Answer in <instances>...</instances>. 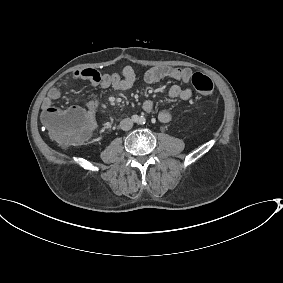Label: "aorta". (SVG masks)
<instances>
[{
    "instance_id": "1",
    "label": "aorta",
    "mask_w": 283,
    "mask_h": 283,
    "mask_svg": "<svg viewBox=\"0 0 283 283\" xmlns=\"http://www.w3.org/2000/svg\"><path fill=\"white\" fill-rule=\"evenodd\" d=\"M136 122L141 124V123L144 122V118L138 117V118L136 119Z\"/></svg>"
}]
</instances>
